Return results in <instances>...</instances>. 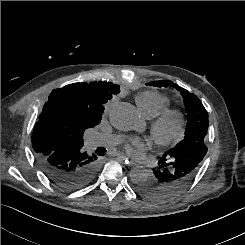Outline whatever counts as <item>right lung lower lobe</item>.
<instances>
[{"mask_svg":"<svg viewBox=\"0 0 245 245\" xmlns=\"http://www.w3.org/2000/svg\"><path fill=\"white\" fill-rule=\"evenodd\" d=\"M37 160L49 180L66 191L87 186L99 170L97 156L89 155L82 146H67L49 155L37 156Z\"/></svg>","mask_w":245,"mask_h":245,"instance_id":"98d812e1","label":"right lung lower lobe"}]
</instances>
